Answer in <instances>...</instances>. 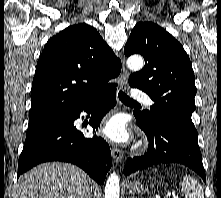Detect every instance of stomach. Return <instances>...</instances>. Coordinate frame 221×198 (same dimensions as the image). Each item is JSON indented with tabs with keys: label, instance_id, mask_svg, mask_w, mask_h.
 I'll list each match as a JSON object with an SVG mask.
<instances>
[{
	"label": "stomach",
	"instance_id": "stomach-1",
	"mask_svg": "<svg viewBox=\"0 0 221 198\" xmlns=\"http://www.w3.org/2000/svg\"><path fill=\"white\" fill-rule=\"evenodd\" d=\"M128 189L131 193H140L141 191H144V187L139 181L129 183Z\"/></svg>",
	"mask_w": 221,
	"mask_h": 198
}]
</instances>
